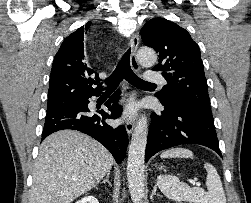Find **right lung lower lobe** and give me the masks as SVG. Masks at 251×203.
<instances>
[{
    "mask_svg": "<svg viewBox=\"0 0 251 203\" xmlns=\"http://www.w3.org/2000/svg\"><path fill=\"white\" fill-rule=\"evenodd\" d=\"M102 91L91 93L81 100L47 111L42 140L48 135L64 129L78 130L93 137L104 145L119 164L125 157L128 136L125 127H111L106 119H116L122 113V107L114 101L120 98V91L115 92L105 103L111 114L103 110H90L89 98L99 96ZM114 102L112 105L111 103Z\"/></svg>",
    "mask_w": 251,
    "mask_h": 203,
    "instance_id": "98d812e1",
    "label": "right lung lower lobe"
}]
</instances>
